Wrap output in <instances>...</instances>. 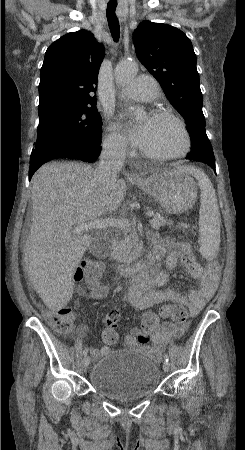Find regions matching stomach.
Listing matches in <instances>:
<instances>
[{"label": "stomach", "instance_id": "0dacf381", "mask_svg": "<svg viewBox=\"0 0 245 450\" xmlns=\"http://www.w3.org/2000/svg\"><path fill=\"white\" fill-rule=\"evenodd\" d=\"M136 184L169 214L188 211L197 199V185L182 167L154 170L147 178Z\"/></svg>", "mask_w": 245, "mask_h": 450}]
</instances>
